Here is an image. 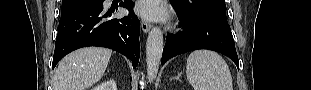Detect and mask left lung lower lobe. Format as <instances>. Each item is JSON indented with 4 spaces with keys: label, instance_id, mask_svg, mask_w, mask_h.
Returning <instances> with one entry per match:
<instances>
[{
    "label": "left lung lower lobe",
    "instance_id": "0a47b994",
    "mask_svg": "<svg viewBox=\"0 0 311 90\" xmlns=\"http://www.w3.org/2000/svg\"><path fill=\"white\" fill-rule=\"evenodd\" d=\"M177 15L184 21L185 30L167 36L163 48L162 65L176 55L197 49H209L226 55L239 67L234 39L228 23L207 16L185 17L178 13Z\"/></svg>",
    "mask_w": 311,
    "mask_h": 90
}]
</instances>
